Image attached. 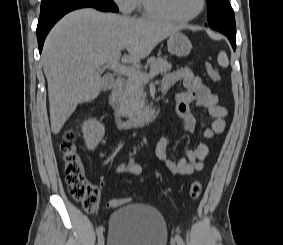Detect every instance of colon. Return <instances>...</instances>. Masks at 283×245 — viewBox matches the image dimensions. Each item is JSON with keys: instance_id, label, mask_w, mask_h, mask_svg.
<instances>
[{"instance_id": "colon-1", "label": "colon", "mask_w": 283, "mask_h": 245, "mask_svg": "<svg viewBox=\"0 0 283 245\" xmlns=\"http://www.w3.org/2000/svg\"><path fill=\"white\" fill-rule=\"evenodd\" d=\"M206 70L212 81L219 82L221 80L219 71L211 64H206ZM75 141L76 133L74 130H68L64 133L60 148L65 180L71 197L79 202L84 210L91 212L97 207L99 194L97 188L85 178L82 158ZM201 194V182L193 181L189 188L190 197L198 199ZM105 204L108 208H117L126 204V200L106 197Z\"/></svg>"}]
</instances>
